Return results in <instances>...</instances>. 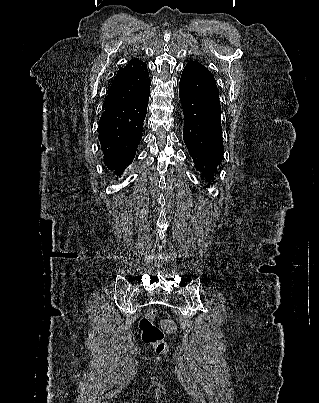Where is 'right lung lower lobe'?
Segmentation results:
<instances>
[{
    "mask_svg": "<svg viewBox=\"0 0 319 403\" xmlns=\"http://www.w3.org/2000/svg\"><path fill=\"white\" fill-rule=\"evenodd\" d=\"M149 92L140 98L104 109L99 121V141L104 163L120 175L135 156L142 139Z\"/></svg>",
    "mask_w": 319,
    "mask_h": 403,
    "instance_id": "1",
    "label": "right lung lower lobe"
}]
</instances>
